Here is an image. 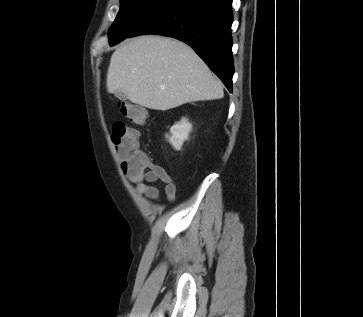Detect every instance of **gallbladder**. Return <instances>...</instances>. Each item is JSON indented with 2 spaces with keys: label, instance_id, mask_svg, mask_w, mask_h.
I'll use <instances>...</instances> for the list:
<instances>
[{
  "label": "gallbladder",
  "instance_id": "bac80fb5",
  "mask_svg": "<svg viewBox=\"0 0 363 317\" xmlns=\"http://www.w3.org/2000/svg\"><path fill=\"white\" fill-rule=\"evenodd\" d=\"M114 94H115L116 97H118L120 99H124L125 98V96L121 92H119V91H116Z\"/></svg>",
  "mask_w": 363,
  "mask_h": 317
}]
</instances>
